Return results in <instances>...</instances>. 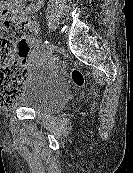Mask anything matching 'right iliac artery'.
<instances>
[{"label": "right iliac artery", "mask_w": 133, "mask_h": 173, "mask_svg": "<svg viewBox=\"0 0 133 173\" xmlns=\"http://www.w3.org/2000/svg\"><path fill=\"white\" fill-rule=\"evenodd\" d=\"M43 47L48 50L49 47H50V43L48 41H45L44 44H43Z\"/></svg>", "instance_id": "right-iliac-artery-1"}]
</instances>
